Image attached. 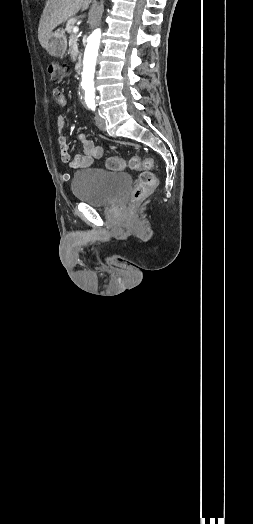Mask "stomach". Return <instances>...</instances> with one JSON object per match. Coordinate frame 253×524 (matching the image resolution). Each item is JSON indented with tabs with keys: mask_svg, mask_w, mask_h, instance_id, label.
<instances>
[{
	"mask_svg": "<svg viewBox=\"0 0 253 524\" xmlns=\"http://www.w3.org/2000/svg\"><path fill=\"white\" fill-rule=\"evenodd\" d=\"M67 48V39L65 31L62 28H58L51 33L46 50L54 57H62L65 54Z\"/></svg>",
	"mask_w": 253,
	"mask_h": 524,
	"instance_id": "1",
	"label": "stomach"
}]
</instances>
